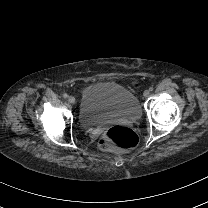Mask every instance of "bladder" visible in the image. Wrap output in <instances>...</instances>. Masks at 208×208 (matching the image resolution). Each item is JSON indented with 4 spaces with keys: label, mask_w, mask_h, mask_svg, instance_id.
I'll use <instances>...</instances> for the list:
<instances>
[{
    "label": "bladder",
    "mask_w": 208,
    "mask_h": 208,
    "mask_svg": "<svg viewBox=\"0 0 208 208\" xmlns=\"http://www.w3.org/2000/svg\"><path fill=\"white\" fill-rule=\"evenodd\" d=\"M81 119L91 125H102L111 121H137L141 108L136 96L124 87L99 82L88 85L82 94Z\"/></svg>",
    "instance_id": "obj_1"
}]
</instances>
